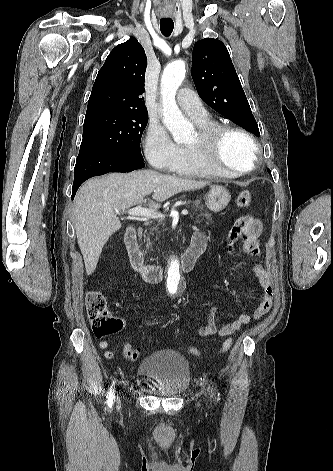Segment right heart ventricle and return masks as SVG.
<instances>
[{
  "instance_id": "right-heart-ventricle-1",
  "label": "right heart ventricle",
  "mask_w": 333,
  "mask_h": 471,
  "mask_svg": "<svg viewBox=\"0 0 333 471\" xmlns=\"http://www.w3.org/2000/svg\"><path fill=\"white\" fill-rule=\"evenodd\" d=\"M199 128H205L207 126L217 124L211 120L208 116L202 120L195 121ZM173 173L187 176V177H235L233 175H223L216 171L214 168L206 164L201 160L189 146L181 147V157L176 166L171 170Z\"/></svg>"
}]
</instances>
